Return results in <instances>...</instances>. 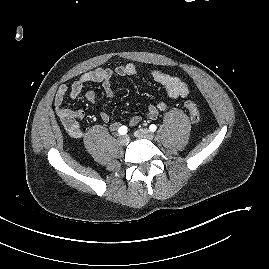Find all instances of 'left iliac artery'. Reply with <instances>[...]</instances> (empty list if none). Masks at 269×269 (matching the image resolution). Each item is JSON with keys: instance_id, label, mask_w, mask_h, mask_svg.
I'll use <instances>...</instances> for the list:
<instances>
[{"instance_id": "left-iliac-artery-1", "label": "left iliac artery", "mask_w": 269, "mask_h": 269, "mask_svg": "<svg viewBox=\"0 0 269 269\" xmlns=\"http://www.w3.org/2000/svg\"><path fill=\"white\" fill-rule=\"evenodd\" d=\"M150 131L154 132L157 129V126L155 124L150 125L149 127Z\"/></svg>"}]
</instances>
